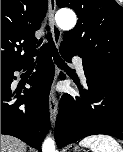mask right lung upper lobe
Wrapping results in <instances>:
<instances>
[{"label":"right lung upper lobe","instance_id":"right-lung-upper-lobe-1","mask_svg":"<svg viewBox=\"0 0 123 152\" xmlns=\"http://www.w3.org/2000/svg\"><path fill=\"white\" fill-rule=\"evenodd\" d=\"M46 12L47 0H1V67L20 66L35 54Z\"/></svg>","mask_w":123,"mask_h":152}]
</instances>
